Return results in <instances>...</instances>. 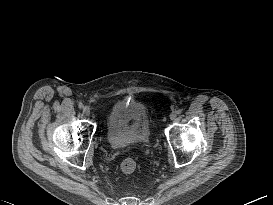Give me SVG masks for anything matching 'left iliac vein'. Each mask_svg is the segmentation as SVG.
<instances>
[{"label": "left iliac vein", "mask_w": 273, "mask_h": 205, "mask_svg": "<svg viewBox=\"0 0 273 205\" xmlns=\"http://www.w3.org/2000/svg\"><path fill=\"white\" fill-rule=\"evenodd\" d=\"M176 118H177V114H176L175 112H172V113L170 114V119H171V120H176Z\"/></svg>", "instance_id": "4c4485c4"}]
</instances>
